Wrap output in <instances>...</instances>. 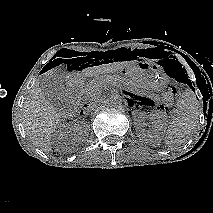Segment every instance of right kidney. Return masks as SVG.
<instances>
[{"instance_id": "right-kidney-1", "label": "right kidney", "mask_w": 213, "mask_h": 213, "mask_svg": "<svg viewBox=\"0 0 213 213\" xmlns=\"http://www.w3.org/2000/svg\"><path fill=\"white\" fill-rule=\"evenodd\" d=\"M86 125H87L86 123L80 122V123L74 124V126H73L74 130H76L77 133L79 135H81L80 140H82V141H84L85 138L88 136V131L86 129Z\"/></svg>"}]
</instances>
